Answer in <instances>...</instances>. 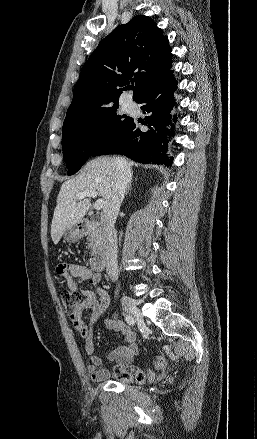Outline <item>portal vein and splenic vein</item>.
<instances>
[{"mask_svg": "<svg viewBox=\"0 0 257 439\" xmlns=\"http://www.w3.org/2000/svg\"><path fill=\"white\" fill-rule=\"evenodd\" d=\"M97 195H98L97 191H95V190H87V191L80 192L77 195V200H82L85 197H93V198H95V197H97ZM103 205H104V200L103 199H98L95 202V204H94V208L96 210H101Z\"/></svg>", "mask_w": 257, "mask_h": 439, "instance_id": "portal-vein-and-splenic-vein-1", "label": "portal vein and splenic vein"}]
</instances>
